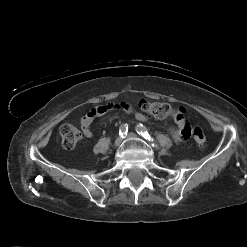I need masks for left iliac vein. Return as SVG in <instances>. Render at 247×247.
<instances>
[{
	"instance_id": "1",
	"label": "left iliac vein",
	"mask_w": 247,
	"mask_h": 247,
	"mask_svg": "<svg viewBox=\"0 0 247 247\" xmlns=\"http://www.w3.org/2000/svg\"><path fill=\"white\" fill-rule=\"evenodd\" d=\"M126 136L129 138H137L138 137L137 134H135L133 132H129Z\"/></svg>"
}]
</instances>
